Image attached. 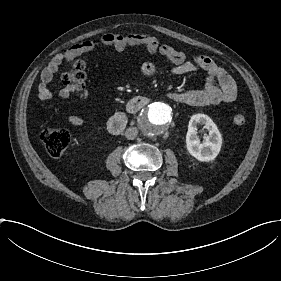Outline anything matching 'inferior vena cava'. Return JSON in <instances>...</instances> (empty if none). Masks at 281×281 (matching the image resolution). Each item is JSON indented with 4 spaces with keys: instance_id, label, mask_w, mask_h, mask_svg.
<instances>
[{
    "instance_id": "602c4592",
    "label": "inferior vena cava",
    "mask_w": 281,
    "mask_h": 281,
    "mask_svg": "<svg viewBox=\"0 0 281 281\" xmlns=\"http://www.w3.org/2000/svg\"><path fill=\"white\" fill-rule=\"evenodd\" d=\"M137 134H138V129L136 127H130L125 131V136L129 140L135 139Z\"/></svg>"
}]
</instances>
